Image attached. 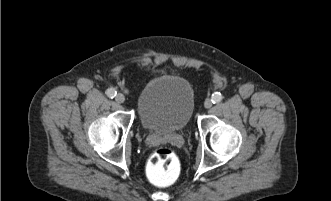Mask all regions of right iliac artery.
Wrapping results in <instances>:
<instances>
[{
  "label": "right iliac artery",
  "instance_id": "1",
  "mask_svg": "<svg viewBox=\"0 0 331 201\" xmlns=\"http://www.w3.org/2000/svg\"><path fill=\"white\" fill-rule=\"evenodd\" d=\"M116 93H117L116 90L113 88H109L106 90V94L110 98H114L116 96Z\"/></svg>",
  "mask_w": 331,
  "mask_h": 201
}]
</instances>
